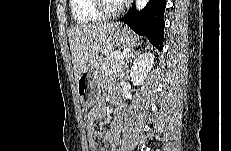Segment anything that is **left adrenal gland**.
<instances>
[{
    "label": "left adrenal gland",
    "instance_id": "left-adrenal-gland-1",
    "mask_svg": "<svg viewBox=\"0 0 231 151\" xmlns=\"http://www.w3.org/2000/svg\"><path fill=\"white\" fill-rule=\"evenodd\" d=\"M140 53L139 52H135L134 54H131L130 56H128L127 58H126V60H127V62H126V64H125V67H124V72H122V76L125 78V79H129L130 78V76H129V70H126V68H127V63L129 62V59H130V57H132V58H134L135 56H138Z\"/></svg>",
    "mask_w": 231,
    "mask_h": 151
}]
</instances>
